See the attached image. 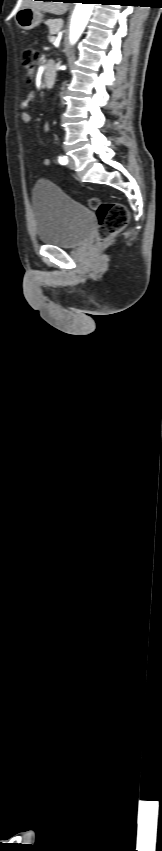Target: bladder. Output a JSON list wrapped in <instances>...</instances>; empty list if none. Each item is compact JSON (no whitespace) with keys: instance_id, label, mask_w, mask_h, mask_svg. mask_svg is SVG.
I'll return each instance as SVG.
<instances>
[{"instance_id":"31cf9c89","label":"bladder","mask_w":162,"mask_h":851,"mask_svg":"<svg viewBox=\"0 0 162 851\" xmlns=\"http://www.w3.org/2000/svg\"><path fill=\"white\" fill-rule=\"evenodd\" d=\"M37 238L42 244L76 248L90 236L95 215L50 181H38L32 192Z\"/></svg>"}]
</instances>
